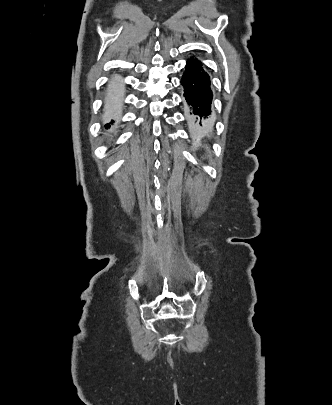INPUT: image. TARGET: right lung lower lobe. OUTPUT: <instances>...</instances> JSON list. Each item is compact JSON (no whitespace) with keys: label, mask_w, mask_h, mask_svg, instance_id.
I'll return each instance as SVG.
<instances>
[{"label":"right lung lower lobe","mask_w":332,"mask_h":405,"mask_svg":"<svg viewBox=\"0 0 332 405\" xmlns=\"http://www.w3.org/2000/svg\"><path fill=\"white\" fill-rule=\"evenodd\" d=\"M111 91L109 94L108 99L106 100V108L110 111V112H115L119 106H120V101H121V85H119L118 83H112L111 84ZM114 121L111 120L110 123L106 124L105 127L106 128H110V124H112Z\"/></svg>","instance_id":"obj_1"}]
</instances>
